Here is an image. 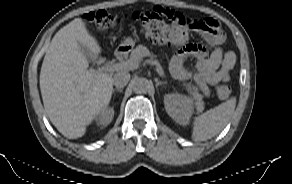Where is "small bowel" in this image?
<instances>
[{"mask_svg":"<svg viewBox=\"0 0 292 184\" xmlns=\"http://www.w3.org/2000/svg\"><path fill=\"white\" fill-rule=\"evenodd\" d=\"M201 25L194 28L214 47L210 55L206 49L198 44L183 43L176 46L175 54L170 63L172 74L179 79L193 78L195 84L204 95L210 94V86L221 81H228L230 72L236 63V55L225 52L221 45L224 43L225 34L218 21L211 17H198ZM188 59H194L192 68L186 66Z\"/></svg>","mask_w":292,"mask_h":184,"instance_id":"small-bowel-1","label":"small bowel"}]
</instances>
